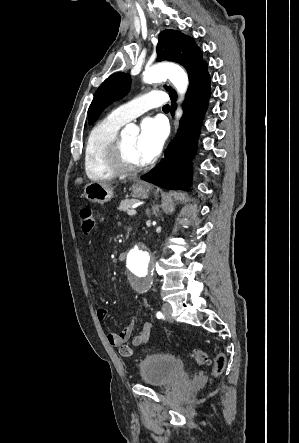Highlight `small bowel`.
Wrapping results in <instances>:
<instances>
[{
    "mask_svg": "<svg viewBox=\"0 0 299 443\" xmlns=\"http://www.w3.org/2000/svg\"><path fill=\"white\" fill-rule=\"evenodd\" d=\"M97 317L103 320L107 315V310L103 307H99L96 311ZM135 324V316H133L128 325L122 332H109L107 334L108 341L111 345L118 347L120 352L124 356H131L134 351V347L145 344L150 336L152 330V324L149 320H145L135 336H132ZM131 340V345H128V341Z\"/></svg>",
    "mask_w": 299,
    "mask_h": 443,
    "instance_id": "small-bowel-1",
    "label": "small bowel"
}]
</instances>
